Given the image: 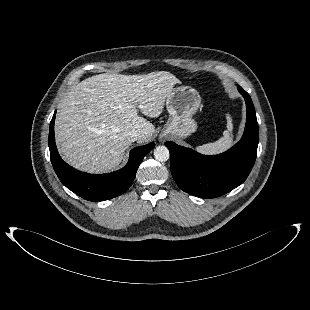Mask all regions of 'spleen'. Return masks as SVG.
Masks as SVG:
<instances>
[{"label":"spleen","instance_id":"1","mask_svg":"<svg viewBox=\"0 0 310 310\" xmlns=\"http://www.w3.org/2000/svg\"><path fill=\"white\" fill-rule=\"evenodd\" d=\"M227 118V130H224L223 137H221L219 140L213 142L204 144L201 146H198L196 148L197 151L203 153V154H217L226 151L233 142V124H232V118L229 114L226 116Z\"/></svg>","mask_w":310,"mask_h":310}]
</instances>
